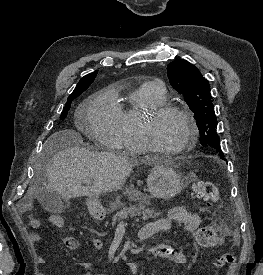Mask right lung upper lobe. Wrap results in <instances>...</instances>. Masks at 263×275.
Wrapping results in <instances>:
<instances>
[{"label":"right lung upper lobe","mask_w":263,"mask_h":275,"mask_svg":"<svg viewBox=\"0 0 263 275\" xmlns=\"http://www.w3.org/2000/svg\"><path fill=\"white\" fill-rule=\"evenodd\" d=\"M96 74H97V71L90 73V74L84 76L83 78H81L80 81L78 82L76 88L74 89V91L72 92V94L70 96L76 94L77 92H79L80 90H82L84 88H88L91 85V83L94 81Z\"/></svg>","instance_id":"1"}]
</instances>
